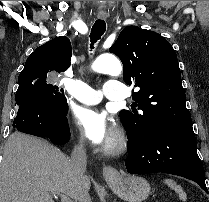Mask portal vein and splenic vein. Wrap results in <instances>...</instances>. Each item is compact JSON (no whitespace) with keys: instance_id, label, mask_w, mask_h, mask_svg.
<instances>
[{"instance_id":"portal-vein-and-splenic-vein-1","label":"portal vein and splenic vein","mask_w":209,"mask_h":202,"mask_svg":"<svg viewBox=\"0 0 209 202\" xmlns=\"http://www.w3.org/2000/svg\"><path fill=\"white\" fill-rule=\"evenodd\" d=\"M50 192H51L52 194H54V195H55V194H56V195H59L60 198H61V202H72L71 199H69L66 195L61 194V193H59L58 191L50 190Z\"/></svg>"}]
</instances>
